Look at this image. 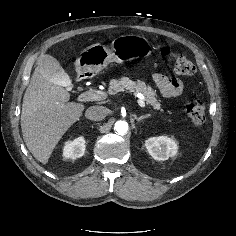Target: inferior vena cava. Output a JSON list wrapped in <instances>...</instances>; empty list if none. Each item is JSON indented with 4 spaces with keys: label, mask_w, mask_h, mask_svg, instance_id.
Returning <instances> with one entry per match:
<instances>
[{
    "label": "inferior vena cava",
    "mask_w": 236,
    "mask_h": 236,
    "mask_svg": "<svg viewBox=\"0 0 236 236\" xmlns=\"http://www.w3.org/2000/svg\"><path fill=\"white\" fill-rule=\"evenodd\" d=\"M107 108L103 106H91L86 110V118L93 121H100L104 119L107 115Z\"/></svg>",
    "instance_id": "1"
}]
</instances>
